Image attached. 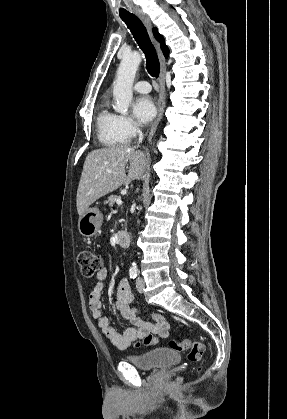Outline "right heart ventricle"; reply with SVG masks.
I'll return each instance as SVG.
<instances>
[{"label":"right heart ventricle","mask_w":287,"mask_h":419,"mask_svg":"<svg viewBox=\"0 0 287 419\" xmlns=\"http://www.w3.org/2000/svg\"><path fill=\"white\" fill-rule=\"evenodd\" d=\"M96 127L98 140L106 147H115L127 142L119 131L118 116L109 110L105 101L100 105Z\"/></svg>","instance_id":"obj_1"}]
</instances>
